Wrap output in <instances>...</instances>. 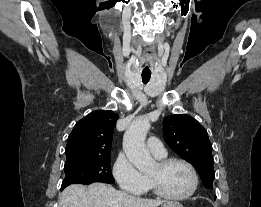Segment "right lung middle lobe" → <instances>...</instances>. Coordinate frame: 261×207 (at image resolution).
<instances>
[{
	"mask_svg": "<svg viewBox=\"0 0 261 207\" xmlns=\"http://www.w3.org/2000/svg\"><path fill=\"white\" fill-rule=\"evenodd\" d=\"M64 170L65 179L61 190L74 183H114L110 169V156L68 161L64 165Z\"/></svg>",
	"mask_w": 261,
	"mask_h": 207,
	"instance_id": "obj_1",
	"label": "right lung middle lobe"
}]
</instances>
